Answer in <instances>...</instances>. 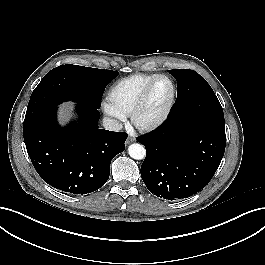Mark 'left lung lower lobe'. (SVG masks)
<instances>
[{
  "label": "left lung lower lobe",
  "instance_id": "1",
  "mask_svg": "<svg viewBox=\"0 0 265 265\" xmlns=\"http://www.w3.org/2000/svg\"><path fill=\"white\" fill-rule=\"evenodd\" d=\"M146 148L141 177L151 193L167 200L203 189L225 151L224 124L199 117L168 118L156 132L138 139Z\"/></svg>",
  "mask_w": 265,
  "mask_h": 265
}]
</instances>
